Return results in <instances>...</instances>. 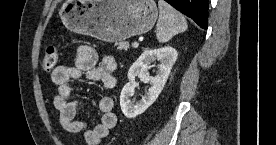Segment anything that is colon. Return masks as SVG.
Listing matches in <instances>:
<instances>
[{
    "instance_id": "5ec220e1",
    "label": "colon",
    "mask_w": 276,
    "mask_h": 145,
    "mask_svg": "<svg viewBox=\"0 0 276 145\" xmlns=\"http://www.w3.org/2000/svg\"><path fill=\"white\" fill-rule=\"evenodd\" d=\"M58 50L54 44L49 45L42 57V68L45 71H51L55 68L58 61Z\"/></svg>"
}]
</instances>
